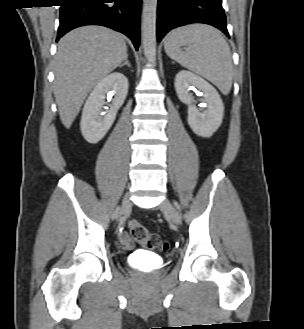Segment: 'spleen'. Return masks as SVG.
I'll use <instances>...</instances> for the list:
<instances>
[{
    "mask_svg": "<svg viewBox=\"0 0 304 329\" xmlns=\"http://www.w3.org/2000/svg\"><path fill=\"white\" fill-rule=\"evenodd\" d=\"M181 46L188 50L182 51ZM164 48L171 59L212 82L224 95L230 93L231 52L220 31L204 24L179 27L167 35Z\"/></svg>",
    "mask_w": 304,
    "mask_h": 329,
    "instance_id": "3e777b00",
    "label": "spleen"
}]
</instances>
